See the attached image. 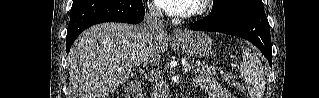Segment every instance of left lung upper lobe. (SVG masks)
Segmentation results:
<instances>
[{"mask_svg": "<svg viewBox=\"0 0 319 98\" xmlns=\"http://www.w3.org/2000/svg\"><path fill=\"white\" fill-rule=\"evenodd\" d=\"M262 3L261 0H214L211 13L204 18L207 21L222 19L231 14L235 9L249 4Z\"/></svg>", "mask_w": 319, "mask_h": 98, "instance_id": "5c2ea615", "label": "left lung upper lobe"}]
</instances>
